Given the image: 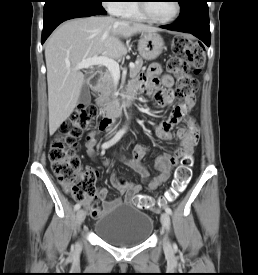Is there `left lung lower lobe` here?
<instances>
[{
    "mask_svg": "<svg viewBox=\"0 0 258 275\" xmlns=\"http://www.w3.org/2000/svg\"><path fill=\"white\" fill-rule=\"evenodd\" d=\"M181 6L178 21L162 26L164 29L191 33L210 46V27L207 0H186ZM203 47V45L200 43ZM204 48V47H203Z\"/></svg>",
    "mask_w": 258,
    "mask_h": 275,
    "instance_id": "left-lung-lower-lobe-1",
    "label": "left lung lower lobe"
}]
</instances>
